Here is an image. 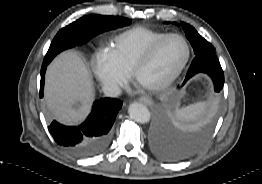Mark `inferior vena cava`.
Returning a JSON list of instances; mask_svg holds the SVG:
<instances>
[{
	"instance_id": "inferior-vena-cava-1",
	"label": "inferior vena cava",
	"mask_w": 262,
	"mask_h": 184,
	"mask_svg": "<svg viewBox=\"0 0 262 184\" xmlns=\"http://www.w3.org/2000/svg\"><path fill=\"white\" fill-rule=\"evenodd\" d=\"M103 92L108 97H117L121 94V89L115 83H106L103 85Z\"/></svg>"
}]
</instances>
